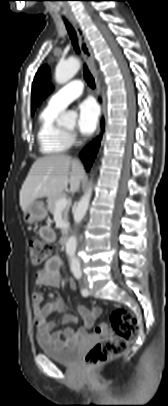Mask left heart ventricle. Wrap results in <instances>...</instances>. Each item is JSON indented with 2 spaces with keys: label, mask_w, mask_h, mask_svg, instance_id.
I'll return each mask as SVG.
<instances>
[{
  "label": "left heart ventricle",
  "mask_w": 168,
  "mask_h": 406,
  "mask_svg": "<svg viewBox=\"0 0 168 406\" xmlns=\"http://www.w3.org/2000/svg\"><path fill=\"white\" fill-rule=\"evenodd\" d=\"M73 128H74V123L70 124V125L67 127L68 130H73Z\"/></svg>",
  "instance_id": "1"
}]
</instances>
